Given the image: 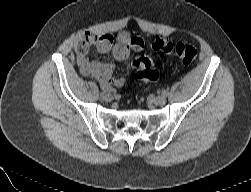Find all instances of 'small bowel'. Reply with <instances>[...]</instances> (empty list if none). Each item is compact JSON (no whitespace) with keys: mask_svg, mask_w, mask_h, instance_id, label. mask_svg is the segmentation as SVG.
Returning <instances> with one entry per match:
<instances>
[{"mask_svg":"<svg viewBox=\"0 0 251 192\" xmlns=\"http://www.w3.org/2000/svg\"><path fill=\"white\" fill-rule=\"evenodd\" d=\"M91 47H95L100 53L112 52L116 60L122 61L129 57L131 51L141 50L143 41L127 33H121L116 37L109 33H88L77 46L78 65L82 73L95 79L104 90H111L112 87L123 86L125 79L114 76L112 64L89 58L88 52Z\"/></svg>","mask_w":251,"mask_h":192,"instance_id":"small-bowel-1","label":"small bowel"}]
</instances>
